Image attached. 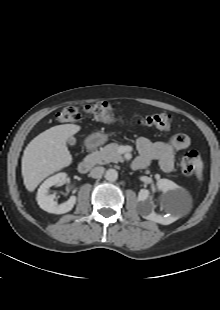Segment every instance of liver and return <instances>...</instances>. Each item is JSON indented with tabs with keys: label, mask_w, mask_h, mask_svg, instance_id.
Here are the masks:
<instances>
[{
	"label": "liver",
	"mask_w": 220,
	"mask_h": 310,
	"mask_svg": "<svg viewBox=\"0 0 220 310\" xmlns=\"http://www.w3.org/2000/svg\"><path fill=\"white\" fill-rule=\"evenodd\" d=\"M81 127L75 124L57 125L36 136L25 148L22 176L26 189L33 192L49 175L72 163L66 142Z\"/></svg>",
	"instance_id": "obj_1"
}]
</instances>
